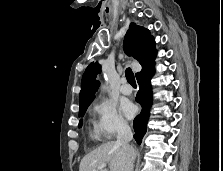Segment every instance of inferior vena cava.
<instances>
[{
    "instance_id": "inferior-vena-cava-1",
    "label": "inferior vena cava",
    "mask_w": 223,
    "mask_h": 171,
    "mask_svg": "<svg viewBox=\"0 0 223 171\" xmlns=\"http://www.w3.org/2000/svg\"><path fill=\"white\" fill-rule=\"evenodd\" d=\"M132 138L133 134L131 128L126 123H121L118 128L117 144L128 152L124 171H133L134 167L135 157L132 154L134 148L129 144Z\"/></svg>"
}]
</instances>
